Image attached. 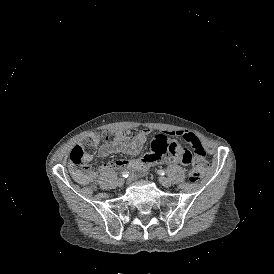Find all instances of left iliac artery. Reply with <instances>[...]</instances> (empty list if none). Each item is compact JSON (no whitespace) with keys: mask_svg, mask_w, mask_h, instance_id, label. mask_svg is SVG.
Returning a JSON list of instances; mask_svg holds the SVG:
<instances>
[{"mask_svg":"<svg viewBox=\"0 0 274 274\" xmlns=\"http://www.w3.org/2000/svg\"><path fill=\"white\" fill-rule=\"evenodd\" d=\"M158 174H160V175H165V171L162 170V169H160V170H158Z\"/></svg>","mask_w":274,"mask_h":274,"instance_id":"obj_1","label":"left iliac artery"}]
</instances>
